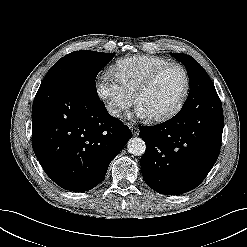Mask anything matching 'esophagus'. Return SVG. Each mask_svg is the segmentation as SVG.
I'll list each match as a JSON object with an SVG mask.
<instances>
[{
    "label": "esophagus",
    "instance_id": "34e87169",
    "mask_svg": "<svg viewBox=\"0 0 247 247\" xmlns=\"http://www.w3.org/2000/svg\"><path fill=\"white\" fill-rule=\"evenodd\" d=\"M130 129H131L132 134H133L134 136H136V135L138 134V132H139V129H138V127H136V126L130 125Z\"/></svg>",
    "mask_w": 247,
    "mask_h": 247
}]
</instances>
